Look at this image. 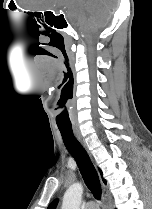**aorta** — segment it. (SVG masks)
<instances>
[{"label":"aorta","instance_id":"762f6f07","mask_svg":"<svg viewBox=\"0 0 152 209\" xmlns=\"http://www.w3.org/2000/svg\"><path fill=\"white\" fill-rule=\"evenodd\" d=\"M83 186L81 183L72 184L63 196L61 209H80Z\"/></svg>","mask_w":152,"mask_h":209}]
</instances>
